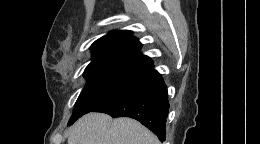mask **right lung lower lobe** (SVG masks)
<instances>
[{"instance_id": "1", "label": "right lung lower lobe", "mask_w": 260, "mask_h": 144, "mask_svg": "<svg viewBox=\"0 0 260 144\" xmlns=\"http://www.w3.org/2000/svg\"><path fill=\"white\" fill-rule=\"evenodd\" d=\"M168 110L166 85L161 75L150 65L137 72L121 90L92 112L107 113L113 118H134L153 131L161 141H165Z\"/></svg>"}]
</instances>
